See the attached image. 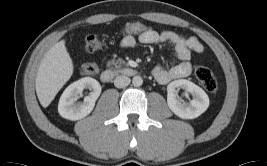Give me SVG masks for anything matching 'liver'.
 Instances as JSON below:
<instances>
[{"instance_id":"1","label":"liver","mask_w":267,"mask_h":166,"mask_svg":"<svg viewBox=\"0 0 267 166\" xmlns=\"http://www.w3.org/2000/svg\"><path fill=\"white\" fill-rule=\"evenodd\" d=\"M73 62L65 40L57 42L42 59L35 79L40 104L46 108L73 74Z\"/></svg>"}]
</instances>
